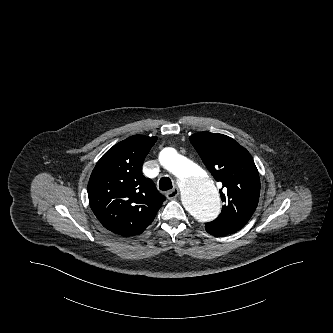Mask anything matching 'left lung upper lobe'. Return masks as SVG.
Here are the masks:
<instances>
[{
	"label": "left lung upper lobe",
	"instance_id": "5c2ea615",
	"mask_svg": "<svg viewBox=\"0 0 333 333\" xmlns=\"http://www.w3.org/2000/svg\"><path fill=\"white\" fill-rule=\"evenodd\" d=\"M190 142L216 181L223 207L217 219L218 227L240 230L253 215L260 196V179L250 153L234 139L217 133L199 132Z\"/></svg>",
	"mask_w": 333,
	"mask_h": 333
}]
</instances>
